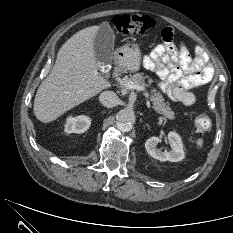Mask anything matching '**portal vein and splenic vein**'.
<instances>
[{
  "label": "portal vein and splenic vein",
  "instance_id": "1",
  "mask_svg": "<svg viewBox=\"0 0 233 233\" xmlns=\"http://www.w3.org/2000/svg\"><path fill=\"white\" fill-rule=\"evenodd\" d=\"M125 88L128 89V90H135V89L138 90V91H144L145 90V88L142 85L135 84L134 82H131V81L126 83ZM144 95L146 97V105L150 109L151 104H150V101L147 98L148 94L146 92H144Z\"/></svg>",
  "mask_w": 233,
  "mask_h": 233
}]
</instances>
